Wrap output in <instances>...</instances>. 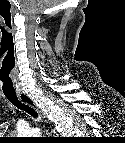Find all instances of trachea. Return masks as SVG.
<instances>
[{
	"label": "trachea",
	"mask_w": 125,
	"mask_h": 143,
	"mask_svg": "<svg viewBox=\"0 0 125 143\" xmlns=\"http://www.w3.org/2000/svg\"><path fill=\"white\" fill-rule=\"evenodd\" d=\"M6 98L13 104L15 105L17 108L26 111L28 114H30L33 117H37V112L30 107L29 105L22 103L16 95H5Z\"/></svg>",
	"instance_id": "1"
}]
</instances>
